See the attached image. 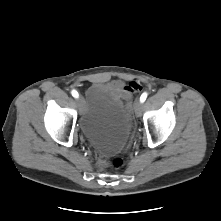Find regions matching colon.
Here are the masks:
<instances>
[{"label":"colon","instance_id":"colon-1","mask_svg":"<svg viewBox=\"0 0 221 221\" xmlns=\"http://www.w3.org/2000/svg\"><path fill=\"white\" fill-rule=\"evenodd\" d=\"M141 89H142V86L140 85V83H138L136 81L129 82L124 88V90L127 94V99H130L131 94L137 93V92L141 91ZM123 165H124V160L122 157H115L111 161L100 160L98 162L99 168H105V167L111 166L114 169H119Z\"/></svg>","mask_w":221,"mask_h":221}]
</instances>
